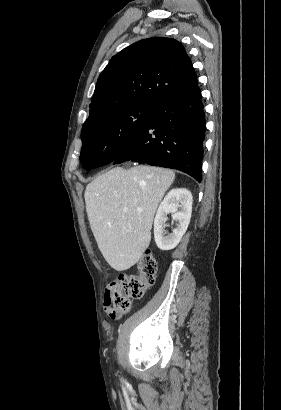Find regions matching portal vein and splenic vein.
Here are the masks:
<instances>
[{"instance_id":"obj_1","label":"portal vein and splenic vein","mask_w":281,"mask_h":410,"mask_svg":"<svg viewBox=\"0 0 281 410\" xmlns=\"http://www.w3.org/2000/svg\"><path fill=\"white\" fill-rule=\"evenodd\" d=\"M143 209L141 207H137V211L141 212ZM123 212H127L128 208H123Z\"/></svg>"}]
</instances>
